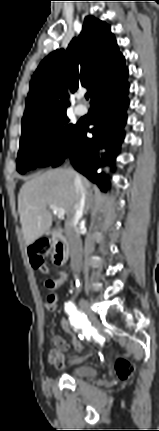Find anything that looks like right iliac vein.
I'll list each match as a JSON object with an SVG mask.
<instances>
[{
    "label": "right iliac vein",
    "instance_id": "obj_1",
    "mask_svg": "<svg viewBox=\"0 0 159 431\" xmlns=\"http://www.w3.org/2000/svg\"><path fill=\"white\" fill-rule=\"evenodd\" d=\"M79 305H80L81 311L88 317V320L93 325H96L97 324V318H96L95 314L92 312V310L90 309V305H89L88 301L84 298H81L79 301ZM83 360H84V358H79V359H76L75 362H81Z\"/></svg>",
    "mask_w": 159,
    "mask_h": 431
}]
</instances>
